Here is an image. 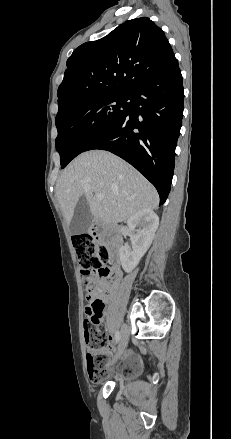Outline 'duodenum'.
I'll use <instances>...</instances> for the list:
<instances>
[{
  "label": "duodenum",
  "mask_w": 231,
  "mask_h": 439,
  "mask_svg": "<svg viewBox=\"0 0 231 439\" xmlns=\"http://www.w3.org/2000/svg\"><path fill=\"white\" fill-rule=\"evenodd\" d=\"M91 230H92L93 232H100V231H101V228H100V226H99L98 224H95V225H93V226L91 227ZM111 232H112L113 234H119V233H120V227H118V226L114 227V228L111 230Z\"/></svg>",
  "instance_id": "duodenum-1"
}]
</instances>
